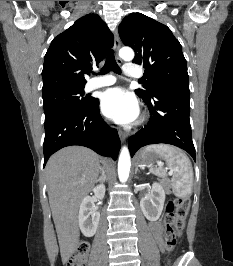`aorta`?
I'll return each instance as SVG.
<instances>
[{"instance_id":"1","label":"aorta","mask_w":233,"mask_h":266,"mask_svg":"<svg viewBox=\"0 0 233 266\" xmlns=\"http://www.w3.org/2000/svg\"><path fill=\"white\" fill-rule=\"evenodd\" d=\"M119 56L126 60L131 61L134 58V52L129 47H124L119 51ZM131 167L130 153L127 147H123L118 161V176L120 182H126L129 177Z\"/></svg>"}]
</instances>
